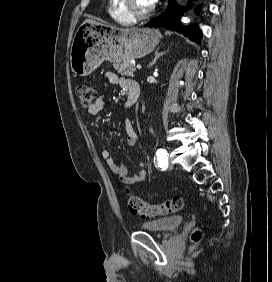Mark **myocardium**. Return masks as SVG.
<instances>
[{
  "label": "myocardium",
  "instance_id": "myocardium-1",
  "mask_svg": "<svg viewBox=\"0 0 272 282\" xmlns=\"http://www.w3.org/2000/svg\"><path fill=\"white\" fill-rule=\"evenodd\" d=\"M122 9L133 19H142L149 16L154 11V6L146 11H138L133 3V0H121Z\"/></svg>",
  "mask_w": 272,
  "mask_h": 282
}]
</instances>
